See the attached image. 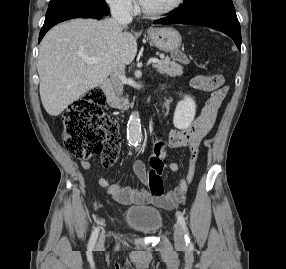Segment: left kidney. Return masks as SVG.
Returning a JSON list of instances; mask_svg holds the SVG:
<instances>
[{
    "instance_id": "5707ae66",
    "label": "left kidney",
    "mask_w": 286,
    "mask_h": 269,
    "mask_svg": "<svg viewBox=\"0 0 286 269\" xmlns=\"http://www.w3.org/2000/svg\"><path fill=\"white\" fill-rule=\"evenodd\" d=\"M195 113V101L191 97L185 96L184 99L176 106L173 117L174 126L178 129H186L190 127L192 121L194 120Z\"/></svg>"
}]
</instances>
